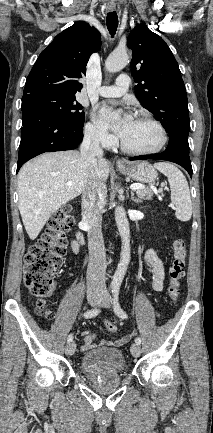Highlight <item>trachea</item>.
I'll list each match as a JSON object with an SVG mask.
<instances>
[{"instance_id": "trachea-1", "label": "trachea", "mask_w": 213, "mask_h": 433, "mask_svg": "<svg viewBox=\"0 0 213 433\" xmlns=\"http://www.w3.org/2000/svg\"><path fill=\"white\" fill-rule=\"evenodd\" d=\"M106 24L110 34L114 36L118 27V16L115 11L107 14Z\"/></svg>"}]
</instances>
